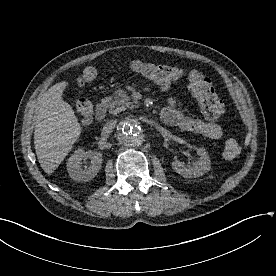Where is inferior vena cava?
I'll list each match as a JSON object with an SVG mask.
<instances>
[{"instance_id": "602c4592", "label": "inferior vena cava", "mask_w": 276, "mask_h": 276, "mask_svg": "<svg viewBox=\"0 0 276 276\" xmlns=\"http://www.w3.org/2000/svg\"><path fill=\"white\" fill-rule=\"evenodd\" d=\"M116 120L108 122L104 127H103V133L104 134H109L112 132V130L116 126Z\"/></svg>"}]
</instances>
